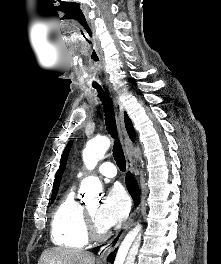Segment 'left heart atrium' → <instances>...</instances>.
<instances>
[{
    "label": "left heart atrium",
    "mask_w": 221,
    "mask_h": 264,
    "mask_svg": "<svg viewBox=\"0 0 221 264\" xmlns=\"http://www.w3.org/2000/svg\"><path fill=\"white\" fill-rule=\"evenodd\" d=\"M130 208L129 199L125 191L113 187L106 195L102 204L96 211V220L105 230L126 218Z\"/></svg>",
    "instance_id": "39dd6f15"
}]
</instances>
